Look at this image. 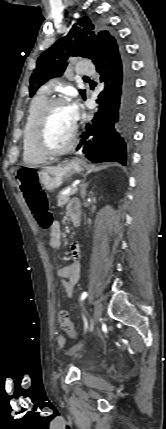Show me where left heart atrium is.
<instances>
[{"label": "left heart atrium", "mask_w": 166, "mask_h": 429, "mask_svg": "<svg viewBox=\"0 0 166 429\" xmlns=\"http://www.w3.org/2000/svg\"><path fill=\"white\" fill-rule=\"evenodd\" d=\"M70 111H71V115L72 118L75 120H77L78 116H79V108L76 102H73L69 105Z\"/></svg>", "instance_id": "obj_1"}]
</instances>
